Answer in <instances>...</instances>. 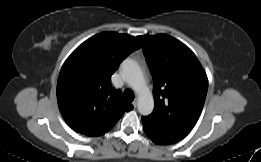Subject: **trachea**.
Instances as JSON below:
<instances>
[{"mask_svg":"<svg viewBox=\"0 0 261 162\" xmlns=\"http://www.w3.org/2000/svg\"><path fill=\"white\" fill-rule=\"evenodd\" d=\"M123 98H124L125 101L131 102V101L134 100V94H133V92L131 90L126 89L123 92Z\"/></svg>","mask_w":261,"mask_h":162,"instance_id":"obj_1","label":"trachea"}]
</instances>
